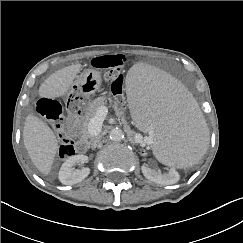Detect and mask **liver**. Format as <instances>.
Masks as SVG:
<instances>
[{"label":"liver","instance_id":"1","mask_svg":"<svg viewBox=\"0 0 243 243\" xmlns=\"http://www.w3.org/2000/svg\"><path fill=\"white\" fill-rule=\"evenodd\" d=\"M81 68V64H75L50 75L39 87L40 97L56 99L65 96ZM23 141L34 166L48 175L58 151V140L52 129L40 118L29 114L24 124Z\"/></svg>","mask_w":243,"mask_h":243}]
</instances>
